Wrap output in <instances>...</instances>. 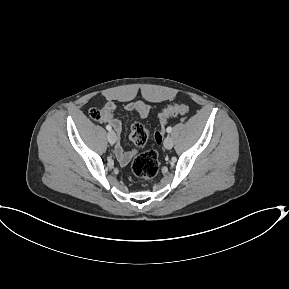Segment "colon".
Wrapping results in <instances>:
<instances>
[{
  "label": "colon",
  "mask_w": 289,
  "mask_h": 289,
  "mask_svg": "<svg viewBox=\"0 0 289 289\" xmlns=\"http://www.w3.org/2000/svg\"><path fill=\"white\" fill-rule=\"evenodd\" d=\"M189 106L187 104H175L164 108L159 114V122L161 126L167 123L170 117L187 113ZM93 120L101 119V111L91 109L89 112ZM130 138L136 146H143L149 140H154L156 143H161L162 132L151 131L141 123H134L131 127ZM132 171L138 178L148 181L152 179L159 171V158L154 150H147L138 155L132 163Z\"/></svg>",
  "instance_id": "5ec220e1"
}]
</instances>
